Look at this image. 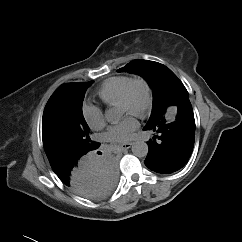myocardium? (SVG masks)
Returning a JSON list of instances; mask_svg holds the SVG:
<instances>
[{
    "mask_svg": "<svg viewBox=\"0 0 242 242\" xmlns=\"http://www.w3.org/2000/svg\"><path fill=\"white\" fill-rule=\"evenodd\" d=\"M136 85H142L144 90H145V103L144 105L135 111L133 115L139 117V118H146L152 110L153 107V90L151 87V84L149 81L143 77H134L132 78L129 83L126 85L124 88L121 98L118 102V105H129L130 104V99H131V93L133 88Z\"/></svg>",
    "mask_w": 242,
    "mask_h": 242,
    "instance_id": "myocardium-1",
    "label": "myocardium"
}]
</instances>
